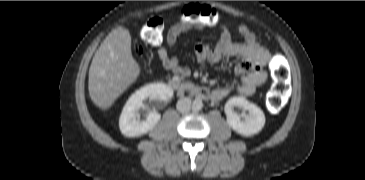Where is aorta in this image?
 <instances>
[{
  "mask_svg": "<svg viewBox=\"0 0 365 180\" xmlns=\"http://www.w3.org/2000/svg\"><path fill=\"white\" fill-rule=\"evenodd\" d=\"M203 107V103L200 99H195L193 102H192V109L195 110V111H199L201 110Z\"/></svg>",
  "mask_w": 365,
  "mask_h": 180,
  "instance_id": "1",
  "label": "aorta"
}]
</instances>
